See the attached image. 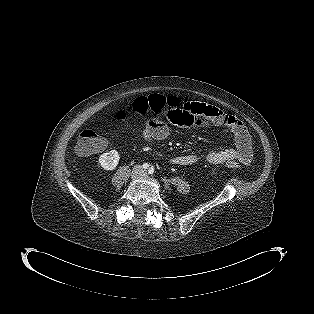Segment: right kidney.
I'll list each match as a JSON object with an SVG mask.
<instances>
[{
	"label": "right kidney",
	"mask_w": 314,
	"mask_h": 314,
	"mask_svg": "<svg viewBox=\"0 0 314 314\" xmlns=\"http://www.w3.org/2000/svg\"><path fill=\"white\" fill-rule=\"evenodd\" d=\"M120 160V155L116 150H111L109 152L103 153L99 157V164L105 170H113L116 168Z\"/></svg>",
	"instance_id": "obj_1"
}]
</instances>
